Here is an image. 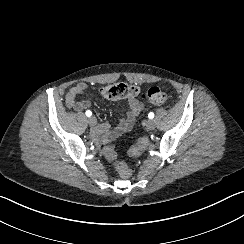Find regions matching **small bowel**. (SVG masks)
<instances>
[{"mask_svg":"<svg viewBox=\"0 0 244 244\" xmlns=\"http://www.w3.org/2000/svg\"><path fill=\"white\" fill-rule=\"evenodd\" d=\"M86 89L87 84L83 82L72 86L65 96L66 107L69 109H74L77 112H82L88 108L90 106V102L88 100H78V96ZM127 104L129 109L115 128L109 129L106 125H101L98 127V135L101 140H114L132 128L135 119L143 110V104L138 98L134 96L128 97Z\"/></svg>","mask_w":244,"mask_h":244,"instance_id":"1","label":"small bowel"}]
</instances>
